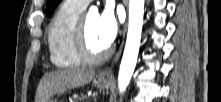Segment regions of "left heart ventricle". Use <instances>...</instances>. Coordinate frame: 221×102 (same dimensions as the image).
<instances>
[{"mask_svg": "<svg viewBox=\"0 0 221 102\" xmlns=\"http://www.w3.org/2000/svg\"><path fill=\"white\" fill-rule=\"evenodd\" d=\"M85 26H86V34L87 40L90 50L93 53H99L104 50L107 45L102 43L97 34V26H98V16L97 15H88L85 17Z\"/></svg>", "mask_w": 221, "mask_h": 102, "instance_id": "left-heart-ventricle-1", "label": "left heart ventricle"}]
</instances>
